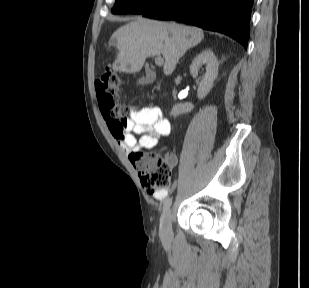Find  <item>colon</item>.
<instances>
[{"instance_id":"1","label":"colon","mask_w":309,"mask_h":288,"mask_svg":"<svg viewBox=\"0 0 309 288\" xmlns=\"http://www.w3.org/2000/svg\"><path fill=\"white\" fill-rule=\"evenodd\" d=\"M121 87L119 76L110 69H105L95 81V90L99 105L106 120L125 122L140 107L132 103H120L118 94ZM131 160L140 173L144 189L151 194L164 192L171 187L172 164L157 152H136Z\"/></svg>"}]
</instances>
